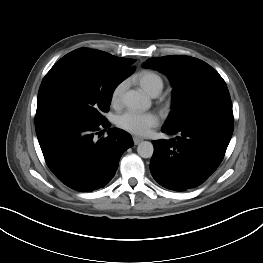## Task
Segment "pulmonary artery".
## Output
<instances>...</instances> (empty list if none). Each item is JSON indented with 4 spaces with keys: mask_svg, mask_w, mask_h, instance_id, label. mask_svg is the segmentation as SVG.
I'll list each match as a JSON object with an SVG mask.
<instances>
[{
    "mask_svg": "<svg viewBox=\"0 0 263 263\" xmlns=\"http://www.w3.org/2000/svg\"><path fill=\"white\" fill-rule=\"evenodd\" d=\"M159 93H160L159 91H155V92H153V93L151 94V96L156 97Z\"/></svg>",
    "mask_w": 263,
    "mask_h": 263,
    "instance_id": "obj_1",
    "label": "pulmonary artery"
}]
</instances>
